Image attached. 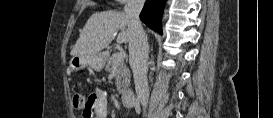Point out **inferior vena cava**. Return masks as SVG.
Instances as JSON below:
<instances>
[{
    "label": "inferior vena cava",
    "instance_id": "obj_1",
    "mask_svg": "<svg viewBox=\"0 0 273 118\" xmlns=\"http://www.w3.org/2000/svg\"><path fill=\"white\" fill-rule=\"evenodd\" d=\"M143 5L144 0H129L124 10L130 18V23L128 25L130 33L129 63L133 71L137 101L146 109L149 98L147 81L149 47L147 36L139 18Z\"/></svg>",
    "mask_w": 273,
    "mask_h": 118
}]
</instances>
